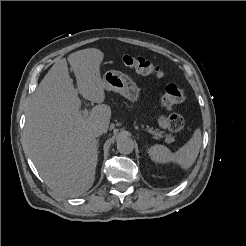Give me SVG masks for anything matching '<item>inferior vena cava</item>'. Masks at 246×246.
<instances>
[{"mask_svg": "<svg viewBox=\"0 0 246 246\" xmlns=\"http://www.w3.org/2000/svg\"><path fill=\"white\" fill-rule=\"evenodd\" d=\"M107 128L104 125H97L92 128L91 133L94 137H98L104 133H106Z\"/></svg>", "mask_w": 246, "mask_h": 246, "instance_id": "inferior-vena-cava-1", "label": "inferior vena cava"}]
</instances>
